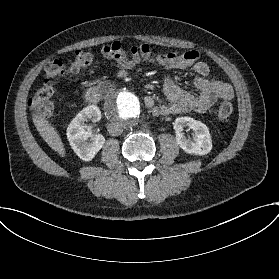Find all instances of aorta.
Here are the masks:
<instances>
[{
    "mask_svg": "<svg viewBox=\"0 0 279 279\" xmlns=\"http://www.w3.org/2000/svg\"><path fill=\"white\" fill-rule=\"evenodd\" d=\"M104 109L106 117L111 123L126 127L134 124L139 117L141 103L134 93L121 89L108 95Z\"/></svg>",
    "mask_w": 279,
    "mask_h": 279,
    "instance_id": "762f6f07",
    "label": "aorta"
}]
</instances>
